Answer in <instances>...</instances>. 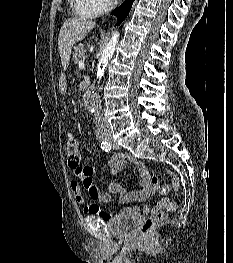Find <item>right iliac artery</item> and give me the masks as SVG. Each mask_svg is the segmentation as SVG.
I'll return each mask as SVG.
<instances>
[{
  "label": "right iliac artery",
  "instance_id": "1",
  "mask_svg": "<svg viewBox=\"0 0 233 263\" xmlns=\"http://www.w3.org/2000/svg\"><path fill=\"white\" fill-rule=\"evenodd\" d=\"M100 146H101V148H102L104 151H106V152L110 151L111 148H112V147H111V144L108 143V142H106V141L101 142Z\"/></svg>",
  "mask_w": 233,
  "mask_h": 263
}]
</instances>
